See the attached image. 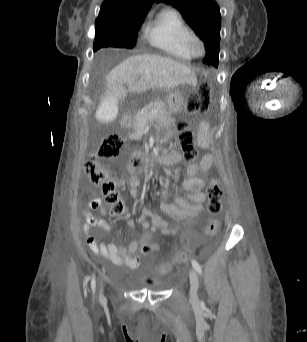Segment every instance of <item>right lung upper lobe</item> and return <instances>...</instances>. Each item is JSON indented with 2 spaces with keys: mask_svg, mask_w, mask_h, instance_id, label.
I'll list each match as a JSON object with an SVG mask.
<instances>
[{
  "mask_svg": "<svg viewBox=\"0 0 307 342\" xmlns=\"http://www.w3.org/2000/svg\"><path fill=\"white\" fill-rule=\"evenodd\" d=\"M155 0H105L95 21L97 31L137 33Z\"/></svg>",
  "mask_w": 307,
  "mask_h": 342,
  "instance_id": "obj_1",
  "label": "right lung upper lobe"
}]
</instances>
